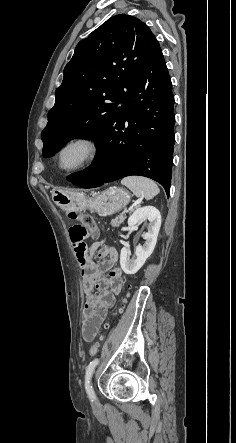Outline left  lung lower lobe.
I'll use <instances>...</instances> for the list:
<instances>
[{"mask_svg":"<svg viewBox=\"0 0 236 443\" xmlns=\"http://www.w3.org/2000/svg\"><path fill=\"white\" fill-rule=\"evenodd\" d=\"M97 137L98 152L86 170L67 177L94 188L130 175L159 182L170 193L174 148V96L159 43Z\"/></svg>","mask_w":236,"mask_h":443,"instance_id":"obj_1","label":"left lung lower lobe"}]
</instances>
